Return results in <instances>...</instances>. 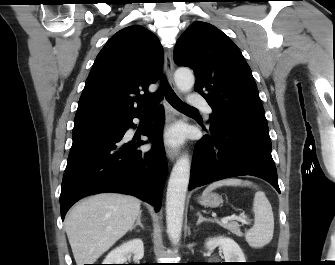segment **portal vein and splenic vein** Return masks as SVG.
Wrapping results in <instances>:
<instances>
[{"mask_svg": "<svg viewBox=\"0 0 335 265\" xmlns=\"http://www.w3.org/2000/svg\"><path fill=\"white\" fill-rule=\"evenodd\" d=\"M231 220H237V221L241 222L242 224H246V225L249 224V222L247 221L246 218H244V217H238V216H235V215L224 217V218L221 219V222L222 223H227V222H229Z\"/></svg>", "mask_w": 335, "mask_h": 265, "instance_id": "portal-vein-and-splenic-vein-1", "label": "portal vein and splenic vein"}]
</instances>
